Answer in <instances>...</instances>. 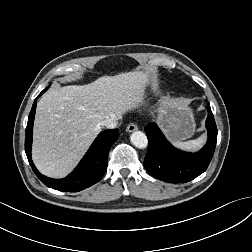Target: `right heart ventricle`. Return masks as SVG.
I'll return each mask as SVG.
<instances>
[{
    "instance_id": "e07e8e85",
    "label": "right heart ventricle",
    "mask_w": 252,
    "mask_h": 252,
    "mask_svg": "<svg viewBox=\"0 0 252 252\" xmlns=\"http://www.w3.org/2000/svg\"><path fill=\"white\" fill-rule=\"evenodd\" d=\"M153 94H154V91L151 90V91L149 92V95H153Z\"/></svg>"
}]
</instances>
